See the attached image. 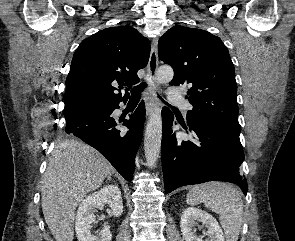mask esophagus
I'll list each match as a JSON object with an SVG mask.
<instances>
[{"instance_id":"34e87169","label":"esophagus","mask_w":295,"mask_h":241,"mask_svg":"<svg viewBox=\"0 0 295 241\" xmlns=\"http://www.w3.org/2000/svg\"><path fill=\"white\" fill-rule=\"evenodd\" d=\"M158 39L154 38L151 44V53L149 62L147 65L146 79L149 84V88L145 93L146 115L149 116L157 104L154 88L156 86V73L158 68Z\"/></svg>"}]
</instances>
